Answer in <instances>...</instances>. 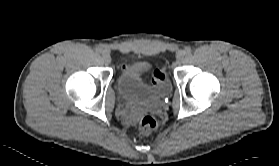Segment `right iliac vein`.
Wrapping results in <instances>:
<instances>
[{
    "label": "right iliac vein",
    "mask_w": 279,
    "mask_h": 166,
    "mask_svg": "<svg viewBox=\"0 0 279 166\" xmlns=\"http://www.w3.org/2000/svg\"><path fill=\"white\" fill-rule=\"evenodd\" d=\"M102 58H103L104 62L107 64H109L111 62V56L108 52H103Z\"/></svg>",
    "instance_id": "right-iliac-vein-1"
}]
</instances>
